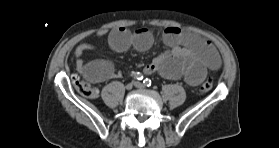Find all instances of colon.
Listing matches in <instances>:
<instances>
[{"instance_id":"colon-1","label":"colon","mask_w":279,"mask_h":148,"mask_svg":"<svg viewBox=\"0 0 279 148\" xmlns=\"http://www.w3.org/2000/svg\"><path fill=\"white\" fill-rule=\"evenodd\" d=\"M73 84L75 89L80 93L82 96L87 98H95L98 95V90L90 83L81 80L78 77L73 78ZM213 87V82L211 79H207L204 81L198 88L199 94H205L209 92Z\"/></svg>"}]
</instances>
